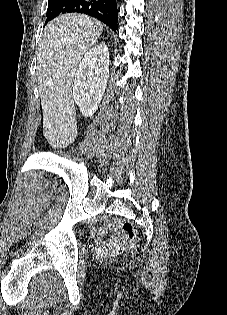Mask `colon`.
<instances>
[{"label":"colon","mask_w":227,"mask_h":315,"mask_svg":"<svg viewBox=\"0 0 227 315\" xmlns=\"http://www.w3.org/2000/svg\"><path fill=\"white\" fill-rule=\"evenodd\" d=\"M120 229L122 240L126 244L128 250H136V232L133 223L129 220H122L120 222Z\"/></svg>","instance_id":"colon-1"}]
</instances>
